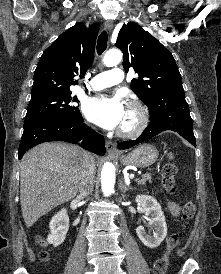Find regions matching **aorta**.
Instances as JSON below:
<instances>
[{
	"instance_id": "762f6f07",
	"label": "aorta",
	"mask_w": 221,
	"mask_h": 274,
	"mask_svg": "<svg viewBox=\"0 0 221 274\" xmlns=\"http://www.w3.org/2000/svg\"><path fill=\"white\" fill-rule=\"evenodd\" d=\"M122 60V53L118 49L109 50L104 58V65L111 67L119 64ZM115 168L111 163H105L101 171V188L105 196H109L114 191Z\"/></svg>"
}]
</instances>
